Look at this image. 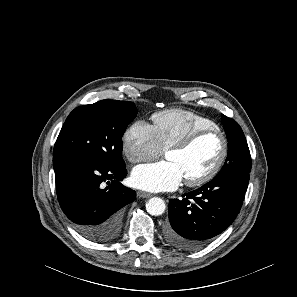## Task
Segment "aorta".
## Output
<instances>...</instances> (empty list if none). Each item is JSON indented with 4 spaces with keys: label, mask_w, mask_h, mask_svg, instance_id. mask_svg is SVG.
Returning <instances> with one entry per match:
<instances>
[{
    "label": "aorta",
    "mask_w": 297,
    "mask_h": 297,
    "mask_svg": "<svg viewBox=\"0 0 297 297\" xmlns=\"http://www.w3.org/2000/svg\"><path fill=\"white\" fill-rule=\"evenodd\" d=\"M165 202L159 197H153L146 203V210L153 216L162 215L165 212Z\"/></svg>",
    "instance_id": "aorta-1"
}]
</instances>
